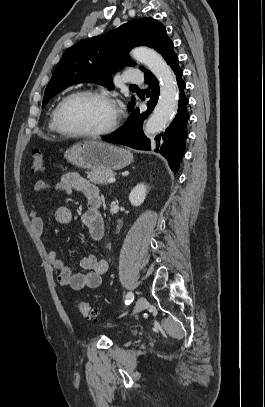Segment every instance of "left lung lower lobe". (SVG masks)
Instances as JSON below:
<instances>
[{
	"label": "left lung lower lobe",
	"instance_id": "left-lung-lower-lobe-1",
	"mask_svg": "<svg viewBox=\"0 0 265 407\" xmlns=\"http://www.w3.org/2000/svg\"><path fill=\"white\" fill-rule=\"evenodd\" d=\"M174 71L177 84L180 90L178 112L164 133L156 136L155 141L150 145L149 139L143 134L142 126L144 120L154 109L159 96V83L152 73L145 74V83L149 84L147 97L150 100L147 103V110L141 112L139 108L132 111L125 124L114 134L103 136L102 139L108 142H114L126 145L139 150H151L162 154L170 163L172 171L177 172L181 158L185 151V141L188 136L187 121L189 114L187 111L188 99L184 93L186 87L182 79L183 71L179 67L178 59L171 65Z\"/></svg>",
	"mask_w": 265,
	"mask_h": 407
}]
</instances>
